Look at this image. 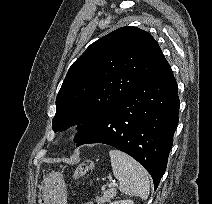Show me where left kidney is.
Listing matches in <instances>:
<instances>
[{
  "label": "left kidney",
  "instance_id": "5707ae66",
  "mask_svg": "<svg viewBox=\"0 0 212 204\" xmlns=\"http://www.w3.org/2000/svg\"><path fill=\"white\" fill-rule=\"evenodd\" d=\"M111 204H134V202L132 200H120L112 202Z\"/></svg>",
  "mask_w": 212,
  "mask_h": 204
}]
</instances>
